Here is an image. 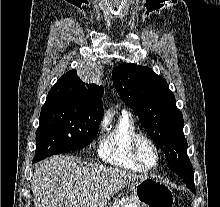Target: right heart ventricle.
<instances>
[{
  "label": "right heart ventricle",
  "instance_id": "obj_1",
  "mask_svg": "<svg viewBox=\"0 0 220 207\" xmlns=\"http://www.w3.org/2000/svg\"><path fill=\"white\" fill-rule=\"evenodd\" d=\"M137 133L132 117L123 112L115 124L108 128L98 147L99 157L106 163L132 171L145 170L132 156L130 143Z\"/></svg>",
  "mask_w": 220,
  "mask_h": 207
}]
</instances>
